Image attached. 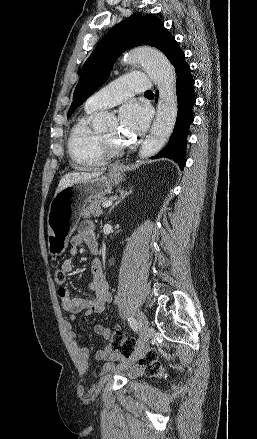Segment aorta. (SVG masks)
I'll return each instance as SVG.
<instances>
[{
  "mask_svg": "<svg viewBox=\"0 0 257 439\" xmlns=\"http://www.w3.org/2000/svg\"><path fill=\"white\" fill-rule=\"evenodd\" d=\"M123 62L140 63L147 75L157 85L159 99L156 119L149 136L143 142L140 158H148L158 153L171 136L177 118L176 74L167 57L157 49L150 47L137 48L127 53ZM114 117L106 112L96 113L93 118V129L104 131Z\"/></svg>",
  "mask_w": 257,
  "mask_h": 439,
  "instance_id": "762f6f07",
  "label": "aorta"
}]
</instances>
